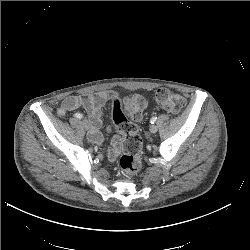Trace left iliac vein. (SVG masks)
I'll return each instance as SVG.
<instances>
[{
	"label": "left iliac vein",
	"instance_id": "left-iliac-vein-1",
	"mask_svg": "<svg viewBox=\"0 0 250 250\" xmlns=\"http://www.w3.org/2000/svg\"><path fill=\"white\" fill-rule=\"evenodd\" d=\"M158 131V127L156 126V125H152L151 127H150V132L151 133H156Z\"/></svg>",
	"mask_w": 250,
	"mask_h": 250
}]
</instances>
